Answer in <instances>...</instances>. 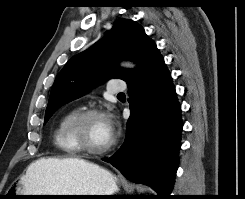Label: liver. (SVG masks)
<instances>
[{"label": "liver", "instance_id": "1", "mask_svg": "<svg viewBox=\"0 0 245 199\" xmlns=\"http://www.w3.org/2000/svg\"><path fill=\"white\" fill-rule=\"evenodd\" d=\"M86 163L89 162L76 157L41 158L28 167L26 174L22 178L25 180V185L27 187L31 183L32 188H35V186L42 180L43 176L47 174L61 172L71 165Z\"/></svg>", "mask_w": 245, "mask_h": 199}]
</instances>
